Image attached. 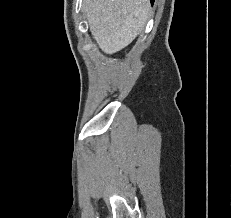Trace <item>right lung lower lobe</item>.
Segmentation results:
<instances>
[{
    "label": "right lung lower lobe",
    "mask_w": 231,
    "mask_h": 218,
    "mask_svg": "<svg viewBox=\"0 0 231 218\" xmlns=\"http://www.w3.org/2000/svg\"><path fill=\"white\" fill-rule=\"evenodd\" d=\"M154 0H151V3L153 4Z\"/></svg>",
    "instance_id": "1"
}]
</instances>
